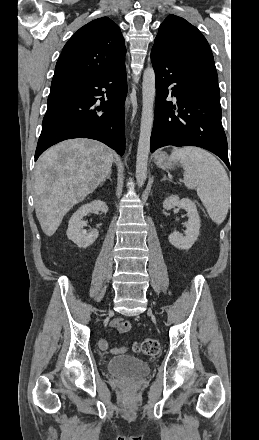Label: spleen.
I'll list each match as a JSON object with an SVG mask.
<instances>
[{
  "mask_svg": "<svg viewBox=\"0 0 259 440\" xmlns=\"http://www.w3.org/2000/svg\"><path fill=\"white\" fill-rule=\"evenodd\" d=\"M170 158L184 169V184L196 189L210 218L221 224L229 209L230 181L221 163L209 152L197 147L175 149Z\"/></svg>",
  "mask_w": 259,
  "mask_h": 440,
  "instance_id": "spleen-1",
  "label": "spleen"
}]
</instances>
